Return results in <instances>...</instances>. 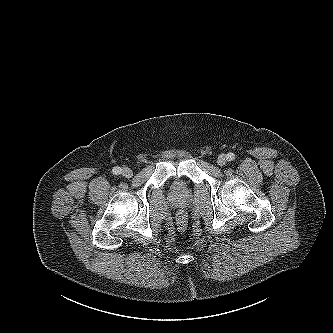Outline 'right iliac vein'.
Wrapping results in <instances>:
<instances>
[{
	"label": "right iliac vein",
	"instance_id": "obj_1",
	"mask_svg": "<svg viewBox=\"0 0 333 333\" xmlns=\"http://www.w3.org/2000/svg\"><path fill=\"white\" fill-rule=\"evenodd\" d=\"M122 175L125 176L126 178H131L133 176V172L130 168L128 167H124L122 169Z\"/></svg>",
	"mask_w": 333,
	"mask_h": 333
}]
</instances>
